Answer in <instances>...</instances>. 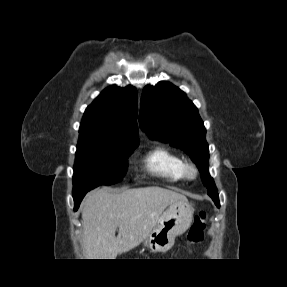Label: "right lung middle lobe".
<instances>
[{
  "instance_id": "right-lung-middle-lobe-1",
  "label": "right lung middle lobe",
  "mask_w": 287,
  "mask_h": 287,
  "mask_svg": "<svg viewBox=\"0 0 287 287\" xmlns=\"http://www.w3.org/2000/svg\"><path fill=\"white\" fill-rule=\"evenodd\" d=\"M137 146L138 142L80 135L75 154L73 197L100 185L121 181L127 171V159Z\"/></svg>"
}]
</instances>
